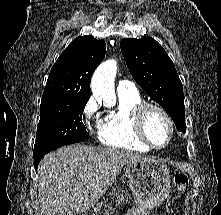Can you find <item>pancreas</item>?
Wrapping results in <instances>:
<instances>
[{
    "mask_svg": "<svg viewBox=\"0 0 221 215\" xmlns=\"http://www.w3.org/2000/svg\"><path fill=\"white\" fill-rule=\"evenodd\" d=\"M110 196V200H114L117 198L116 200V205H122V204H127V203H130L131 200H132V196L129 194L128 190L127 189H124L123 186H117V187H114L112 189V193L109 194ZM104 206L105 208H109L111 207V203L108 204L107 202H102L100 205L97 206L96 210L99 211V209ZM108 212V210H107Z\"/></svg>",
    "mask_w": 221,
    "mask_h": 215,
    "instance_id": "1",
    "label": "pancreas"
}]
</instances>
